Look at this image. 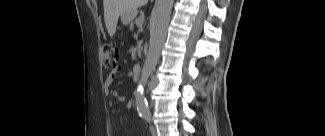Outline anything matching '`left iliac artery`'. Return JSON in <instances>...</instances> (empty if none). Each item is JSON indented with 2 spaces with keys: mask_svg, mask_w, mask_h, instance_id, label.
<instances>
[{
  "mask_svg": "<svg viewBox=\"0 0 325 136\" xmlns=\"http://www.w3.org/2000/svg\"><path fill=\"white\" fill-rule=\"evenodd\" d=\"M144 118H145L147 121L150 122V114H145V115H144Z\"/></svg>",
  "mask_w": 325,
  "mask_h": 136,
  "instance_id": "left-iliac-artery-1",
  "label": "left iliac artery"
}]
</instances>
